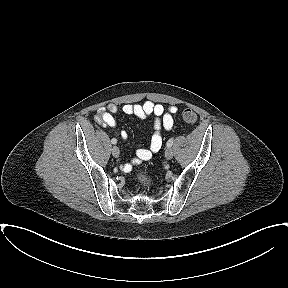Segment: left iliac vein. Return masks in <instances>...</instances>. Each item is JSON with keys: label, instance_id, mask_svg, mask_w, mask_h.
<instances>
[{"label": "left iliac vein", "instance_id": "left-iliac-vein-1", "mask_svg": "<svg viewBox=\"0 0 288 288\" xmlns=\"http://www.w3.org/2000/svg\"><path fill=\"white\" fill-rule=\"evenodd\" d=\"M165 157L170 160L173 157V150L169 147L165 151Z\"/></svg>", "mask_w": 288, "mask_h": 288}]
</instances>
